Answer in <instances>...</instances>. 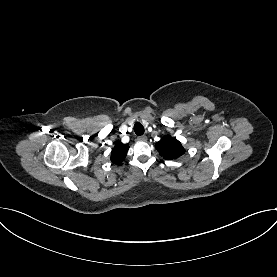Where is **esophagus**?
<instances>
[{"mask_svg": "<svg viewBox=\"0 0 277 277\" xmlns=\"http://www.w3.org/2000/svg\"><path fill=\"white\" fill-rule=\"evenodd\" d=\"M137 139H138L139 141L145 142V141H147V136L142 135V136H139Z\"/></svg>", "mask_w": 277, "mask_h": 277, "instance_id": "1", "label": "esophagus"}]
</instances>
